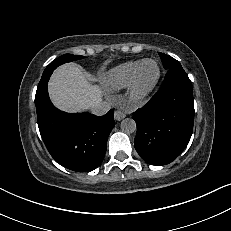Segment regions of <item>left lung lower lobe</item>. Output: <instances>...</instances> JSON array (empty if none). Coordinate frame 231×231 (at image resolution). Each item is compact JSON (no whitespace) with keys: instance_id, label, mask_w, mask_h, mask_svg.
<instances>
[{"instance_id":"obj_1","label":"left lung lower lobe","mask_w":231,"mask_h":231,"mask_svg":"<svg viewBox=\"0 0 231 231\" xmlns=\"http://www.w3.org/2000/svg\"><path fill=\"white\" fill-rule=\"evenodd\" d=\"M132 115L135 149L147 163L165 165L182 153L193 130L194 101L192 83L181 65L167 70L159 91Z\"/></svg>"}]
</instances>
